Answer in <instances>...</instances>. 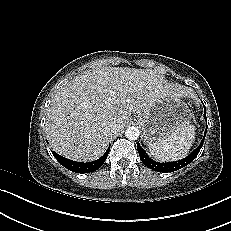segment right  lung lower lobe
I'll return each instance as SVG.
<instances>
[{"instance_id": "right-lung-lower-lobe-1", "label": "right lung lower lobe", "mask_w": 231, "mask_h": 231, "mask_svg": "<svg viewBox=\"0 0 231 231\" xmlns=\"http://www.w3.org/2000/svg\"><path fill=\"white\" fill-rule=\"evenodd\" d=\"M109 150H110V148L107 149V151L104 153V155L101 158H99L93 162H87V163L76 162V161L66 159L65 157L57 154L54 151L52 153L55 156V158L57 159V161L61 165H63L65 168H67L68 170H70L72 172L83 174V173L93 172V171H96L97 169H99L101 167V165L105 162V160L109 154Z\"/></svg>"}]
</instances>
